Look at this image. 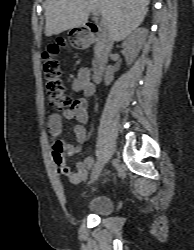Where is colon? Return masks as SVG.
<instances>
[{"label":"colon","mask_w":194,"mask_h":250,"mask_svg":"<svg viewBox=\"0 0 194 250\" xmlns=\"http://www.w3.org/2000/svg\"><path fill=\"white\" fill-rule=\"evenodd\" d=\"M64 44L61 42L51 45L44 50L42 55L46 98L58 110L70 109L76 104V101L67 92L57 58L59 48ZM59 158L62 159V155H59ZM63 171L66 172L67 168L64 167Z\"/></svg>","instance_id":"obj_1"}]
</instances>
